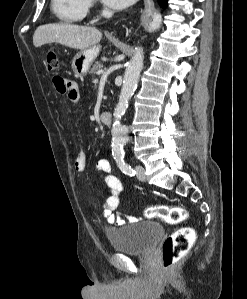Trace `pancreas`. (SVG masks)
Returning <instances> with one entry per match:
<instances>
[{
    "instance_id": "cf45deb5",
    "label": "pancreas",
    "mask_w": 247,
    "mask_h": 299,
    "mask_svg": "<svg viewBox=\"0 0 247 299\" xmlns=\"http://www.w3.org/2000/svg\"><path fill=\"white\" fill-rule=\"evenodd\" d=\"M102 64H101V62H96L94 65H93V67H92V69H91V71H90V74H97V72L99 71V70H101L102 69Z\"/></svg>"
}]
</instances>
